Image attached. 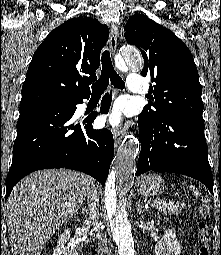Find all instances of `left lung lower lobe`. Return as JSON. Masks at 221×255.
Instances as JSON below:
<instances>
[{
	"label": "left lung lower lobe",
	"instance_id": "left-lung-lower-lobe-1",
	"mask_svg": "<svg viewBox=\"0 0 221 255\" xmlns=\"http://www.w3.org/2000/svg\"><path fill=\"white\" fill-rule=\"evenodd\" d=\"M141 153L137 175L150 170L173 172L202 182L213 193L204 122L181 114L160 121L138 118Z\"/></svg>",
	"mask_w": 221,
	"mask_h": 255
}]
</instances>
